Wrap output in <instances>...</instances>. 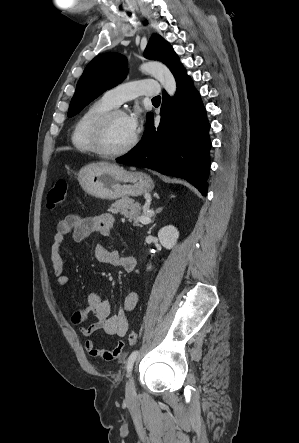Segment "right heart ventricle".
<instances>
[{"label": "right heart ventricle", "mask_w": 299, "mask_h": 443, "mask_svg": "<svg viewBox=\"0 0 299 443\" xmlns=\"http://www.w3.org/2000/svg\"><path fill=\"white\" fill-rule=\"evenodd\" d=\"M114 106L103 97L91 103L77 119L72 134L71 142L75 149L81 153H95L91 143V132L100 115L113 109Z\"/></svg>", "instance_id": "e07e8e85"}]
</instances>
